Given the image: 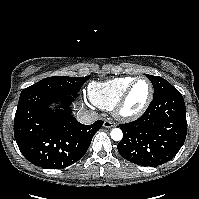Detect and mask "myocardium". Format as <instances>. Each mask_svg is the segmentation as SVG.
Returning <instances> with one entry per match:
<instances>
[{
  "label": "myocardium",
  "mask_w": 199,
  "mask_h": 199,
  "mask_svg": "<svg viewBox=\"0 0 199 199\" xmlns=\"http://www.w3.org/2000/svg\"><path fill=\"white\" fill-rule=\"evenodd\" d=\"M139 80H145L148 82L149 87H150L149 95L141 107H139L135 111H128V110H126V103H127L128 97H129L133 87ZM153 95H154V86L148 77L139 76V77L134 78L132 80V82L129 84V86L126 88L124 93L121 95V97L119 98L117 103L115 104V106H114L115 116L119 119L127 120V121L136 120L137 118L142 116L145 113V111L148 109V107L153 99Z\"/></svg>",
  "instance_id": "f54148a6"
}]
</instances>
